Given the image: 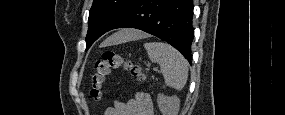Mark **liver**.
I'll list each match as a JSON object with an SVG mask.
<instances>
[{"mask_svg": "<svg viewBox=\"0 0 285 115\" xmlns=\"http://www.w3.org/2000/svg\"><path fill=\"white\" fill-rule=\"evenodd\" d=\"M146 36L147 35L145 33L137 31V30H122V31L114 34L113 36L109 37L108 39H106L100 45V47H106V46H110L113 44L124 43V42H127L129 40L140 39V38H143Z\"/></svg>", "mask_w": 285, "mask_h": 115, "instance_id": "1", "label": "liver"}]
</instances>
